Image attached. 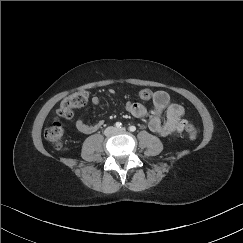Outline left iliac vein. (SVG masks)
<instances>
[{
    "mask_svg": "<svg viewBox=\"0 0 243 243\" xmlns=\"http://www.w3.org/2000/svg\"><path fill=\"white\" fill-rule=\"evenodd\" d=\"M126 129L125 128H119V129H116L115 132H125Z\"/></svg>",
    "mask_w": 243,
    "mask_h": 243,
    "instance_id": "left-iliac-vein-1",
    "label": "left iliac vein"
}]
</instances>
